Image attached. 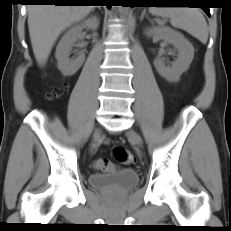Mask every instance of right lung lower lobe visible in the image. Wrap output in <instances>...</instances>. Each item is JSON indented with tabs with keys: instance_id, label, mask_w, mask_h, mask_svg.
I'll return each instance as SVG.
<instances>
[{
	"instance_id": "right-lung-lower-lobe-1",
	"label": "right lung lower lobe",
	"mask_w": 231,
	"mask_h": 231,
	"mask_svg": "<svg viewBox=\"0 0 231 231\" xmlns=\"http://www.w3.org/2000/svg\"><path fill=\"white\" fill-rule=\"evenodd\" d=\"M28 3H51L54 5H76V2L71 1H78V0H24ZM108 8L110 6L107 5Z\"/></svg>"
}]
</instances>
